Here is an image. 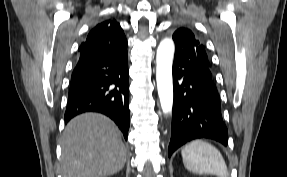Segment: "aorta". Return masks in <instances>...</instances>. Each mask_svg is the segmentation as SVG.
<instances>
[{
    "instance_id": "1",
    "label": "aorta",
    "mask_w": 287,
    "mask_h": 177,
    "mask_svg": "<svg viewBox=\"0 0 287 177\" xmlns=\"http://www.w3.org/2000/svg\"><path fill=\"white\" fill-rule=\"evenodd\" d=\"M174 42L163 39L156 54V81L158 96L164 114H169L173 107L172 63L174 56Z\"/></svg>"
}]
</instances>
